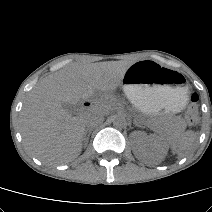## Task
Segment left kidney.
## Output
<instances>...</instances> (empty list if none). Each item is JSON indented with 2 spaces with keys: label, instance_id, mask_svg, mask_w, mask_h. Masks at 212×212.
<instances>
[{
  "label": "left kidney",
  "instance_id": "obj_1",
  "mask_svg": "<svg viewBox=\"0 0 212 212\" xmlns=\"http://www.w3.org/2000/svg\"><path fill=\"white\" fill-rule=\"evenodd\" d=\"M138 137V144L134 154L139 159H159L162 160L168 150V144L164 138L151 134L147 135L144 132H134Z\"/></svg>",
  "mask_w": 212,
  "mask_h": 212
}]
</instances>
